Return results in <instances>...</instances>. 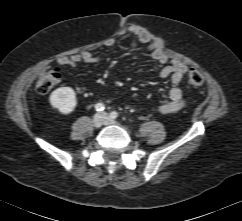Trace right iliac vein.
I'll list each match as a JSON object with an SVG mask.
<instances>
[{"label":"right iliac vein","mask_w":242,"mask_h":221,"mask_svg":"<svg viewBox=\"0 0 242 221\" xmlns=\"http://www.w3.org/2000/svg\"><path fill=\"white\" fill-rule=\"evenodd\" d=\"M105 122V118L102 114H96L93 117L92 123L95 128H100Z\"/></svg>","instance_id":"obj_1"}]
</instances>
